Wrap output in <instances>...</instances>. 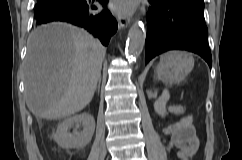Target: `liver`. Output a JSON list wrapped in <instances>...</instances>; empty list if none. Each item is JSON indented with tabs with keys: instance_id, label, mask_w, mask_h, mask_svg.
Returning a JSON list of instances; mask_svg holds the SVG:
<instances>
[{
	"instance_id": "1",
	"label": "liver",
	"mask_w": 242,
	"mask_h": 160,
	"mask_svg": "<svg viewBox=\"0 0 242 160\" xmlns=\"http://www.w3.org/2000/svg\"><path fill=\"white\" fill-rule=\"evenodd\" d=\"M106 49L84 29L54 23L34 30L25 60V97L36 117L59 120L83 110L101 78Z\"/></svg>"
}]
</instances>
